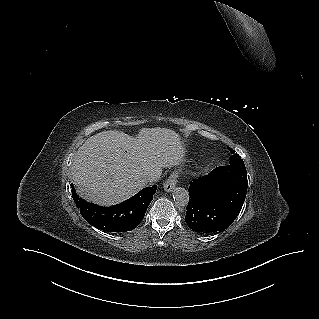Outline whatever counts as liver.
Instances as JSON below:
<instances>
[{
    "label": "liver",
    "mask_w": 319,
    "mask_h": 319,
    "mask_svg": "<svg viewBox=\"0 0 319 319\" xmlns=\"http://www.w3.org/2000/svg\"><path fill=\"white\" fill-rule=\"evenodd\" d=\"M180 136L167 128H142L137 137L110 130L89 137L74 156L71 173L80 196L100 205L124 201L182 162Z\"/></svg>",
    "instance_id": "6515ba94"
}]
</instances>
